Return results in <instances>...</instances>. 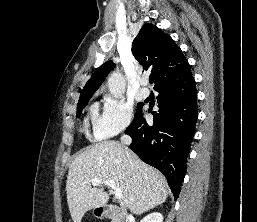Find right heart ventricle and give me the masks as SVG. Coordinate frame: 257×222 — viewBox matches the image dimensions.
Masks as SVG:
<instances>
[{
  "label": "right heart ventricle",
  "instance_id": "1",
  "mask_svg": "<svg viewBox=\"0 0 257 222\" xmlns=\"http://www.w3.org/2000/svg\"><path fill=\"white\" fill-rule=\"evenodd\" d=\"M91 113H92L93 116H95L97 114V107H96V105H93L91 107Z\"/></svg>",
  "mask_w": 257,
  "mask_h": 222
}]
</instances>
